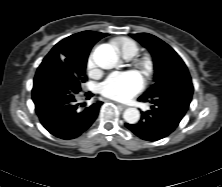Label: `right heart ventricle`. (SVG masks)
<instances>
[{
  "label": "right heart ventricle",
  "instance_id": "obj_1",
  "mask_svg": "<svg viewBox=\"0 0 222 187\" xmlns=\"http://www.w3.org/2000/svg\"><path fill=\"white\" fill-rule=\"evenodd\" d=\"M116 45L119 48L121 54L127 59L134 57L138 53V45L132 40H118L116 41Z\"/></svg>",
  "mask_w": 222,
  "mask_h": 187
}]
</instances>
